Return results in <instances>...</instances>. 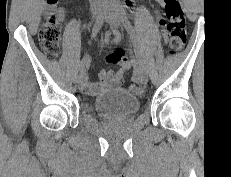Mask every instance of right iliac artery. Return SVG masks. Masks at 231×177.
Here are the masks:
<instances>
[{
	"mask_svg": "<svg viewBox=\"0 0 231 177\" xmlns=\"http://www.w3.org/2000/svg\"><path fill=\"white\" fill-rule=\"evenodd\" d=\"M103 20H104V12H101L100 15L98 16V18L95 21V24L93 26L92 29V38H95V36L97 35V33L99 32L100 28L103 25ZM87 66V62L86 60H82L79 64V71L82 73L85 70V67Z\"/></svg>",
	"mask_w": 231,
	"mask_h": 177,
	"instance_id": "obj_1",
	"label": "right iliac artery"
}]
</instances>
